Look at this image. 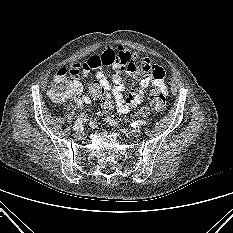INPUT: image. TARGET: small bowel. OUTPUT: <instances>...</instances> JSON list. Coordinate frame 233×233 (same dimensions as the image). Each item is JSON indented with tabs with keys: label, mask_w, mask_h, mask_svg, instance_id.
I'll list each match as a JSON object with an SVG mask.
<instances>
[{
	"label": "small bowel",
	"mask_w": 233,
	"mask_h": 233,
	"mask_svg": "<svg viewBox=\"0 0 233 233\" xmlns=\"http://www.w3.org/2000/svg\"><path fill=\"white\" fill-rule=\"evenodd\" d=\"M103 66H110L113 69L112 81L110 82L105 74L100 70ZM94 69L96 72V79L107 90H111L115 102L116 109L120 113H127L136 106H138L144 98L145 89L152 84L155 88L161 90L164 94L167 88L163 82L164 70L158 64L146 57L131 53L123 46L117 49L107 47L100 55H93L89 57L82 64H72L68 69L61 68L59 72H68L71 75L70 80V95L65 99H74L79 107L91 103L89 95H82L77 98L83 91V84L80 80V74L87 76ZM122 72L128 73L135 78L138 86L126 93L125 83L121 76Z\"/></svg>",
	"instance_id": "1"
}]
</instances>
